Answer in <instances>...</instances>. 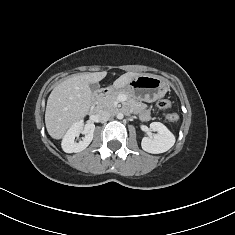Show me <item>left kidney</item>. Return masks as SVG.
I'll list each match as a JSON object with an SVG mask.
<instances>
[{
  "mask_svg": "<svg viewBox=\"0 0 235 235\" xmlns=\"http://www.w3.org/2000/svg\"><path fill=\"white\" fill-rule=\"evenodd\" d=\"M150 128L157 132L153 138L144 137L142 149L148 153L159 154L168 151L175 143L174 135L160 122H152Z\"/></svg>",
  "mask_w": 235,
  "mask_h": 235,
  "instance_id": "5707ae66",
  "label": "left kidney"
}]
</instances>
